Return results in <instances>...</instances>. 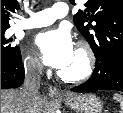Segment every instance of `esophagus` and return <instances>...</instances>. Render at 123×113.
<instances>
[{"label": "esophagus", "instance_id": "34e87169", "mask_svg": "<svg viewBox=\"0 0 123 113\" xmlns=\"http://www.w3.org/2000/svg\"><path fill=\"white\" fill-rule=\"evenodd\" d=\"M48 93L52 96H62L64 95L59 89H57L55 86H48Z\"/></svg>", "mask_w": 123, "mask_h": 113}]
</instances>
